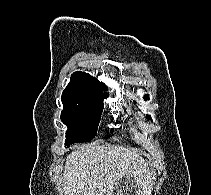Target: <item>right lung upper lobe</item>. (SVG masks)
Returning <instances> with one entry per match:
<instances>
[{
	"mask_svg": "<svg viewBox=\"0 0 211 195\" xmlns=\"http://www.w3.org/2000/svg\"><path fill=\"white\" fill-rule=\"evenodd\" d=\"M106 86L85 72H75L63 91L61 100L78 103H103L108 94L103 93Z\"/></svg>",
	"mask_w": 211,
	"mask_h": 195,
	"instance_id": "obj_1",
	"label": "right lung upper lobe"
}]
</instances>
